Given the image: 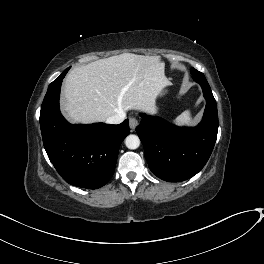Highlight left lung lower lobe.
<instances>
[{
  "mask_svg": "<svg viewBox=\"0 0 264 264\" xmlns=\"http://www.w3.org/2000/svg\"><path fill=\"white\" fill-rule=\"evenodd\" d=\"M202 87L206 108L196 127L181 128L161 118L140 114L136 132L143 144L150 170L160 179L180 182L197 174L208 161L217 138V105L202 77H193Z\"/></svg>",
  "mask_w": 264,
  "mask_h": 264,
  "instance_id": "obj_1",
  "label": "left lung lower lobe"
}]
</instances>
